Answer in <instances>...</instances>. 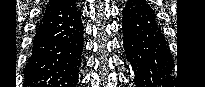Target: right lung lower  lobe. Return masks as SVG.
I'll return each mask as SVG.
<instances>
[{"label":"right lung lower lobe","mask_w":205,"mask_h":87,"mask_svg":"<svg viewBox=\"0 0 205 87\" xmlns=\"http://www.w3.org/2000/svg\"><path fill=\"white\" fill-rule=\"evenodd\" d=\"M81 12L75 0L46 7L24 69V85L76 87L83 51Z\"/></svg>","instance_id":"obj_1"}]
</instances>
